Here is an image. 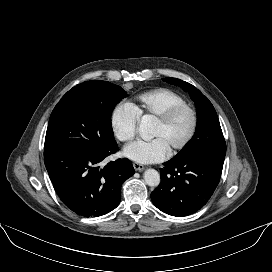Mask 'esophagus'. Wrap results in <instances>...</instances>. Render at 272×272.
<instances>
[{"label": "esophagus", "instance_id": "obj_1", "mask_svg": "<svg viewBox=\"0 0 272 272\" xmlns=\"http://www.w3.org/2000/svg\"><path fill=\"white\" fill-rule=\"evenodd\" d=\"M133 167H134V169H135L136 171H142V170H144V168H145L143 165L138 164V163H133Z\"/></svg>", "mask_w": 272, "mask_h": 272}]
</instances>
